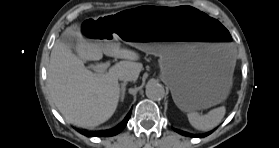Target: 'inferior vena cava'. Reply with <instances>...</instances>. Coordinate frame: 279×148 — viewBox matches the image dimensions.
I'll return each instance as SVG.
<instances>
[{"label":"inferior vena cava","instance_id":"602c4592","mask_svg":"<svg viewBox=\"0 0 279 148\" xmlns=\"http://www.w3.org/2000/svg\"><path fill=\"white\" fill-rule=\"evenodd\" d=\"M119 80L124 81V82H127V81H131V78H130V77H127V76H120V77H119Z\"/></svg>","mask_w":279,"mask_h":148}]
</instances>
